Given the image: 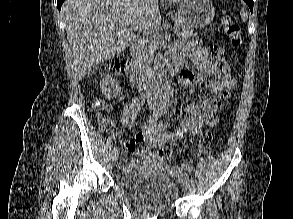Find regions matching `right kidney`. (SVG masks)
<instances>
[{"label":"right kidney","instance_id":"1","mask_svg":"<svg viewBox=\"0 0 293 219\" xmlns=\"http://www.w3.org/2000/svg\"><path fill=\"white\" fill-rule=\"evenodd\" d=\"M102 94L110 99L115 97L119 91V83L113 77L106 75L100 82Z\"/></svg>","mask_w":293,"mask_h":219}]
</instances>
